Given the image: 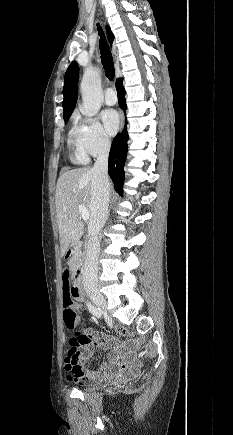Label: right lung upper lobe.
<instances>
[{
    "label": "right lung upper lobe",
    "instance_id": "1",
    "mask_svg": "<svg viewBox=\"0 0 233 435\" xmlns=\"http://www.w3.org/2000/svg\"><path fill=\"white\" fill-rule=\"evenodd\" d=\"M106 31L109 41L112 43L114 37L108 26L106 27ZM63 96V115L70 116L74 110L78 96V66L75 61L70 64L65 73Z\"/></svg>",
    "mask_w": 233,
    "mask_h": 435
}]
</instances>
